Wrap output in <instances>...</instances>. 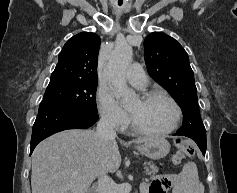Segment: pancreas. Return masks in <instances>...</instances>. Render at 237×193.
I'll return each mask as SVG.
<instances>
[{
	"label": "pancreas",
	"mask_w": 237,
	"mask_h": 193,
	"mask_svg": "<svg viewBox=\"0 0 237 193\" xmlns=\"http://www.w3.org/2000/svg\"><path fill=\"white\" fill-rule=\"evenodd\" d=\"M146 174L151 175L158 172V167L153 162L145 163Z\"/></svg>",
	"instance_id": "obj_1"
}]
</instances>
